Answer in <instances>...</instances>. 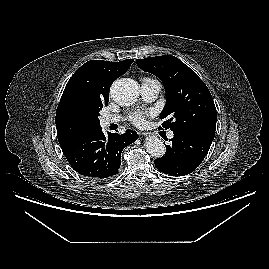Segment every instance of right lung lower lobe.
Listing matches in <instances>:
<instances>
[{
	"label": "right lung lower lobe",
	"instance_id": "98d812e1",
	"mask_svg": "<svg viewBox=\"0 0 269 269\" xmlns=\"http://www.w3.org/2000/svg\"><path fill=\"white\" fill-rule=\"evenodd\" d=\"M138 139L137 132L127 129L122 134L105 135L101 126L60 143L72 168L88 179H106L116 175L121 165L122 150Z\"/></svg>",
	"mask_w": 269,
	"mask_h": 269
}]
</instances>
